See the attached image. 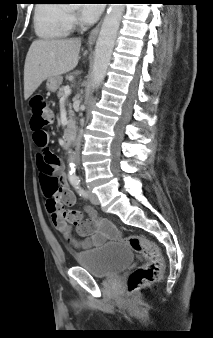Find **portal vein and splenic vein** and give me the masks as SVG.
Returning a JSON list of instances; mask_svg holds the SVG:
<instances>
[{"mask_svg":"<svg viewBox=\"0 0 213 338\" xmlns=\"http://www.w3.org/2000/svg\"><path fill=\"white\" fill-rule=\"evenodd\" d=\"M70 94H71V89H70L69 86H66L64 88V96H63V98H67Z\"/></svg>","mask_w":213,"mask_h":338,"instance_id":"obj_1","label":"portal vein and splenic vein"}]
</instances>
